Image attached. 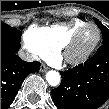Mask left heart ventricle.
Listing matches in <instances>:
<instances>
[{
    "mask_svg": "<svg viewBox=\"0 0 109 109\" xmlns=\"http://www.w3.org/2000/svg\"><path fill=\"white\" fill-rule=\"evenodd\" d=\"M96 37L97 31L94 27H88L87 29H85V31L80 36L78 43L73 48L72 54L74 56H78L84 53L86 50L90 48V46L95 41Z\"/></svg>",
    "mask_w": 109,
    "mask_h": 109,
    "instance_id": "obj_1",
    "label": "left heart ventricle"
}]
</instances>
